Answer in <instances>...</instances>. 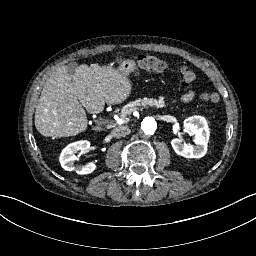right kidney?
Listing matches in <instances>:
<instances>
[{
    "mask_svg": "<svg viewBox=\"0 0 256 256\" xmlns=\"http://www.w3.org/2000/svg\"><path fill=\"white\" fill-rule=\"evenodd\" d=\"M91 146L90 141L81 140L67 145L61 152L59 161L62 168L66 171L76 172L78 175H87L94 172L97 168L96 164L93 162L86 163L82 166L74 165L76 156L73 155L74 152L85 151Z\"/></svg>",
    "mask_w": 256,
    "mask_h": 256,
    "instance_id": "right-kidney-1",
    "label": "right kidney"
}]
</instances>
